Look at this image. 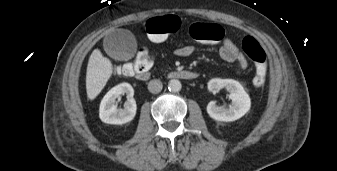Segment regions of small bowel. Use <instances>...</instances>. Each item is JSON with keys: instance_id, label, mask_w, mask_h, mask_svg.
I'll use <instances>...</instances> for the list:
<instances>
[{"instance_id": "small-bowel-1", "label": "small bowel", "mask_w": 337, "mask_h": 171, "mask_svg": "<svg viewBox=\"0 0 337 171\" xmlns=\"http://www.w3.org/2000/svg\"><path fill=\"white\" fill-rule=\"evenodd\" d=\"M193 51L194 48L191 45H182L175 50V53L178 56L187 57L191 55ZM219 54L226 62H237L239 71H244L248 67L247 58L230 38L223 40Z\"/></svg>"}]
</instances>
